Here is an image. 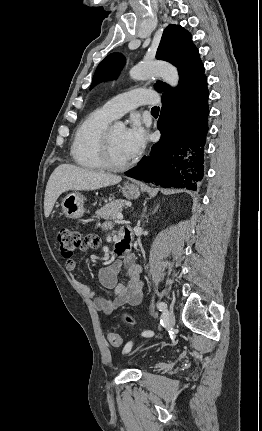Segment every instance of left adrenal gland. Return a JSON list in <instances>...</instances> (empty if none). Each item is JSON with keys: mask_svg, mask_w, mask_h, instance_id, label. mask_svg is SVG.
Segmentation results:
<instances>
[{"mask_svg": "<svg viewBox=\"0 0 262 431\" xmlns=\"http://www.w3.org/2000/svg\"><path fill=\"white\" fill-rule=\"evenodd\" d=\"M158 209V206L154 209V212H156V210ZM146 211V208L144 209V212ZM153 212V213H154ZM147 218V217H146Z\"/></svg>", "mask_w": 262, "mask_h": 431, "instance_id": "obj_1", "label": "left adrenal gland"}]
</instances>
